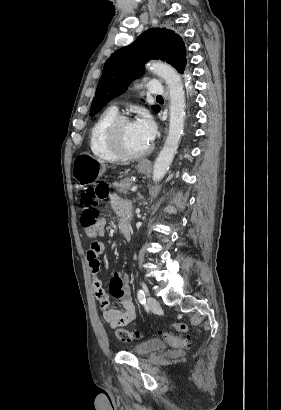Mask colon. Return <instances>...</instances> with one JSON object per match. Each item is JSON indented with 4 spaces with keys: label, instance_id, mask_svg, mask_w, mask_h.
Segmentation results:
<instances>
[{
    "label": "colon",
    "instance_id": "5ec220e1",
    "mask_svg": "<svg viewBox=\"0 0 281 410\" xmlns=\"http://www.w3.org/2000/svg\"><path fill=\"white\" fill-rule=\"evenodd\" d=\"M109 196V188L106 183L101 182L95 188H87L81 195V206L83 212L80 223L85 232L94 237L97 231V223L99 218V202L105 200ZM179 332L180 334H175ZM188 325L184 322H178L168 329H160L159 334L167 341V343L174 348L187 347L190 342V336L186 334ZM117 337L123 342H131L141 337L139 332H131L125 329H118L116 331Z\"/></svg>",
    "mask_w": 281,
    "mask_h": 410
}]
</instances>
